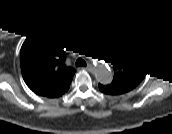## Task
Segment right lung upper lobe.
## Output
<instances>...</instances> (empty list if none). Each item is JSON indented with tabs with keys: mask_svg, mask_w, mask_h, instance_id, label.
Returning a JSON list of instances; mask_svg holds the SVG:
<instances>
[{
	"mask_svg": "<svg viewBox=\"0 0 172 134\" xmlns=\"http://www.w3.org/2000/svg\"><path fill=\"white\" fill-rule=\"evenodd\" d=\"M65 32L53 24L31 31L20 51L22 76L36 94L56 98L70 87L75 69L66 64Z\"/></svg>",
	"mask_w": 172,
	"mask_h": 134,
	"instance_id": "1",
	"label": "right lung upper lobe"
}]
</instances>
